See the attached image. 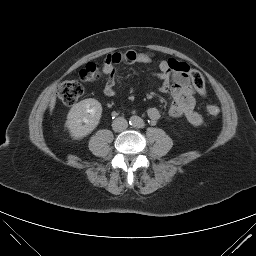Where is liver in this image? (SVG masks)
<instances>
[{
    "mask_svg": "<svg viewBox=\"0 0 256 256\" xmlns=\"http://www.w3.org/2000/svg\"><path fill=\"white\" fill-rule=\"evenodd\" d=\"M55 103H56V98L55 96H53L50 100V104H49V107H50V111L52 112V110L54 109L55 107Z\"/></svg>",
    "mask_w": 256,
    "mask_h": 256,
    "instance_id": "6515ba94",
    "label": "liver"
}]
</instances>
